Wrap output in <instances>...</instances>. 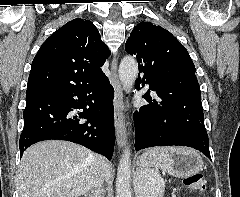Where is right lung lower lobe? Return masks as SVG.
Segmentation results:
<instances>
[{"label": "right lung lower lobe", "instance_id": "98d812e1", "mask_svg": "<svg viewBox=\"0 0 240 197\" xmlns=\"http://www.w3.org/2000/svg\"><path fill=\"white\" fill-rule=\"evenodd\" d=\"M113 97L114 89L106 76L79 87L56 86L26 95L21 156L34 143L59 139L81 144L111 160L115 144ZM73 110L83 111L73 116Z\"/></svg>", "mask_w": 240, "mask_h": 197}]
</instances>
